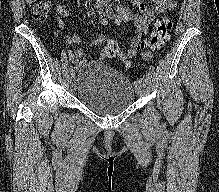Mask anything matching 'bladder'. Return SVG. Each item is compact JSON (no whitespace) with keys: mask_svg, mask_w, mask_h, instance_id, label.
<instances>
[{"mask_svg":"<svg viewBox=\"0 0 219 192\" xmlns=\"http://www.w3.org/2000/svg\"><path fill=\"white\" fill-rule=\"evenodd\" d=\"M76 97L90 111L114 115L135 102V87L124 74L101 62H90L78 70Z\"/></svg>","mask_w":219,"mask_h":192,"instance_id":"31cf9c89","label":"bladder"}]
</instances>
